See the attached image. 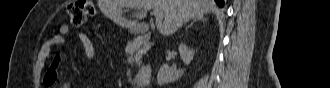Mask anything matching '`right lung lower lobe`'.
I'll use <instances>...</instances> for the list:
<instances>
[{"instance_id": "right-lung-lower-lobe-1", "label": "right lung lower lobe", "mask_w": 330, "mask_h": 88, "mask_svg": "<svg viewBox=\"0 0 330 88\" xmlns=\"http://www.w3.org/2000/svg\"><path fill=\"white\" fill-rule=\"evenodd\" d=\"M215 2L218 4V6L223 7L224 1L223 0H215Z\"/></svg>"}]
</instances>
